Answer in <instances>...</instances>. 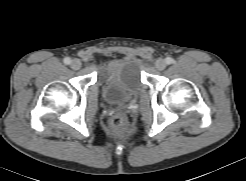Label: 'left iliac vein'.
Masks as SVG:
<instances>
[{
  "mask_svg": "<svg viewBox=\"0 0 246 181\" xmlns=\"http://www.w3.org/2000/svg\"><path fill=\"white\" fill-rule=\"evenodd\" d=\"M167 66V63L164 59H158L155 62V67L157 70H164Z\"/></svg>",
  "mask_w": 246,
  "mask_h": 181,
  "instance_id": "4c4485c4",
  "label": "left iliac vein"
}]
</instances>
